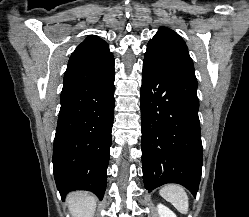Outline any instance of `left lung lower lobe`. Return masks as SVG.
Segmentation results:
<instances>
[{
    "label": "left lung lower lobe",
    "mask_w": 249,
    "mask_h": 217,
    "mask_svg": "<svg viewBox=\"0 0 249 217\" xmlns=\"http://www.w3.org/2000/svg\"><path fill=\"white\" fill-rule=\"evenodd\" d=\"M197 83L143 65L142 165L149 191L166 183L198 191L203 163Z\"/></svg>",
    "instance_id": "0a47b994"
}]
</instances>
